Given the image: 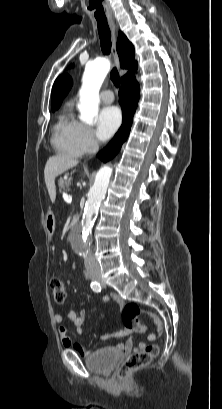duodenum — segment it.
<instances>
[{
    "label": "duodenum",
    "mask_w": 222,
    "mask_h": 409,
    "mask_svg": "<svg viewBox=\"0 0 222 409\" xmlns=\"http://www.w3.org/2000/svg\"><path fill=\"white\" fill-rule=\"evenodd\" d=\"M78 222H79V219L77 217H74L73 220H72V223L77 224Z\"/></svg>",
    "instance_id": "duodenum-1"
}]
</instances>
